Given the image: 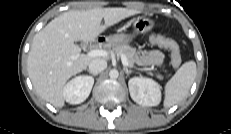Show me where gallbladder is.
<instances>
[{
    "label": "gallbladder",
    "mask_w": 231,
    "mask_h": 134,
    "mask_svg": "<svg viewBox=\"0 0 231 134\" xmlns=\"http://www.w3.org/2000/svg\"><path fill=\"white\" fill-rule=\"evenodd\" d=\"M80 44H81V46L85 45V43H84V42H81Z\"/></svg>",
    "instance_id": "1"
}]
</instances>
